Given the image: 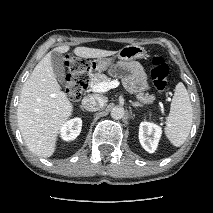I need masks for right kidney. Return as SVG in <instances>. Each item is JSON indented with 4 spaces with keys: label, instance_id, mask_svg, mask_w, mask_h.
Here are the masks:
<instances>
[{
    "label": "right kidney",
    "instance_id": "obj_1",
    "mask_svg": "<svg viewBox=\"0 0 213 213\" xmlns=\"http://www.w3.org/2000/svg\"><path fill=\"white\" fill-rule=\"evenodd\" d=\"M81 118H74L67 121L61 128V137L65 141L74 140L81 132Z\"/></svg>",
    "mask_w": 213,
    "mask_h": 213
}]
</instances>
